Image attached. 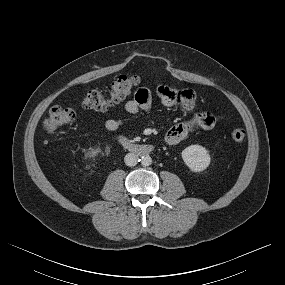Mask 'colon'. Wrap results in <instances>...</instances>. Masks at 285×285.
Returning a JSON list of instances; mask_svg holds the SVG:
<instances>
[{"mask_svg": "<svg viewBox=\"0 0 285 285\" xmlns=\"http://www.w3.org/2000/svg\"><path fill=\"white\" fill-rule=\"evenodd\" d=\"M140 83V77L125 74L115 79L105 90H91L82 101L84 108L95 111H103L110 106L119 103L131 94L133 89ZM76 118L73 109L55 106L52 107L42 121L43 129L54 132L59 128L71 124ZM230 138L235 143H241L246 136L243 127L237 126L231 129Z\"/></svg>", "mask_w": 285, "mask_h": 285, "instance_id": "obj_1", "label": "colon"}]
</instances>
